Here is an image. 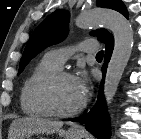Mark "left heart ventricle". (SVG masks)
<instances>
[{
  "instance_id": "obj_1",
  "label": "left heart ventricle",
  "mask_w": 141,
  "mask_h": 139,
  "mask_svg": "<svg viewBox=\"0 0 141 139\" xmlns=\"http://www.w3.org/2000/svg\"><path fill=\"white\" fill-rule=\"evenodd\" d=\"M75 77L61 79L54 89V102L60 110H70L82 102Z\"/></svg>"
}]
</instances>
